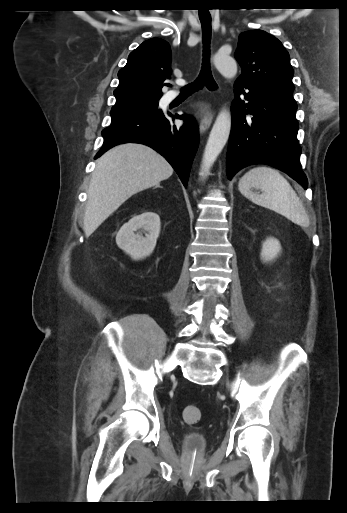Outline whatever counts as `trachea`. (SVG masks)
Masks as SVG:
<instances>
[{"label":"trachea","mask_w":347,"mask_h":513,"mask_svg":"<svg viewBox=\"0 0 347 513\" xmlns=\"http://www.w3.org/2000/svg\"><path fill=\"white\" fill-rule=\"evenodd\" d=\"M202 26V35H203V43H204V58L202 63V69L199 77L191 84L187 85L184 89H182L183 94H191L194 91L201 89L204 85L209 90H215L217 88V84L212 77L210 63H209V45L211 38V18L208 19H200Z\"/></svg>","instance_id":"1"}]
</instances>
